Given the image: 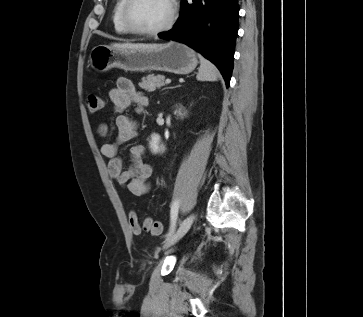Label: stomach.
<instances>
[{"mask_svg":"<svg viewBox=\"0 0 363 317\" xmlns=\"http://www.w3.org/2000/svg\"><path fill=\"white\" fill-rule=\"evenodd\" d=\"M91 67L100 73L111 68L126 71H165L188 74L197 64L195 52L183 43L170 41L156 48L117 49L105 45L94 47L90 53Z\"/></svg>","mask_w":363,"mask_h":317,"instance_id":"obj_1","label":"stomach"}]
</instances>
